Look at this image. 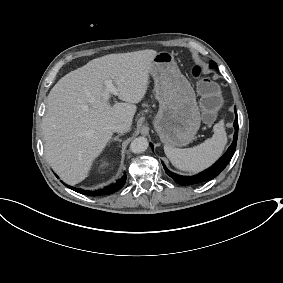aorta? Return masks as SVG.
<instances>
[{
	"mask_svg": "<svg viewBox=\"0 0 283 283\" xmlns=\"http://www.w3.org/2000/svg\"><path fill=\"white\" fill-rule=\"evenodd\" d=\"M149 142L145 137H137L130 144V150L133 153L139 154L148 148Z\"/></svg>",
	"mask_w": 283,
	"mask_h": 283,
	"instance_id": "obj_1",
	"label": "aorta"
}]
</instances>
